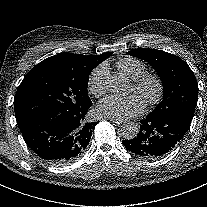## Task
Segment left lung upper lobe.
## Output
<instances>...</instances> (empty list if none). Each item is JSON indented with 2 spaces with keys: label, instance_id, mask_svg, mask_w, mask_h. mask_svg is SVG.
Wrapping results in <instances>:
<instances>
[{
  "label": "left lung upper lobe",
  "instance_id": "left-lung-upper-lobe-1",
  "mask_svg": "<svg viewBox=\"0 0 207 207\" xmlns=\"http://www.w3.org/2000/svg\"><path fill=\"white\" fill-rule=\"evenodd\" d=\"M128 54L147 61L162 81L163 100L149 115H176L191 123L197 105L198 83L188 64L161 50L142 48Z\"/></svg>",
  "mask_w": 207,
  "mask_h": 207
}]
</instances>
